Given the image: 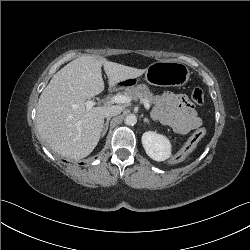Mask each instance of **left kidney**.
<instances>
[{"mask_svg": "<svg viewBox=\"0 0 250 250\" xmlns=\"http://www.w3.org/2000/svg\"><path fill=\"white\" fill-rule=\"evenodd\" d=\"M146 154L155 161H164L171 156V143L164 135L147 131L142 135Z\"/></svg>", "mask_w": 250, "mask_h": 250, "instance_id": "obj_1", "label": "left kidney"}]
</instances>
